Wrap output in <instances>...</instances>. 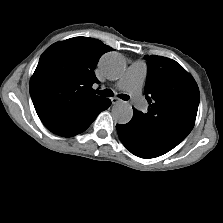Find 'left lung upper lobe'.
<instances>
[{
	"instance_id": "5c2ea615",
	"label": "left lung upper lobe",
	"mask_w": 223,
	"mask_h": 223,
	"mask_svg": "<svg viewBox=\"0 0 223 223\" xmlns=\"http://www.w3.org/2000/svg\"><path fill=\"white\" fill-rule=\"evenodd\" d=\"M147 113L134 110L133 119L149 135L178 145L191 132L200 94L194 79L176 61L162 56H145Z\"/></svg>"
}]
</instances>
